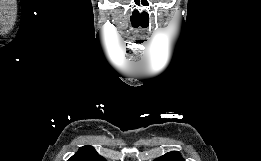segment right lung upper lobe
I'll return each mask as SVG.
<instances>
[{
	"instance_id": "cb5924a9",
	"label": "right lung upper lobe",
	"mask_w": 261,
	"mask_h": 161,
	"mask_svg": "<svg viewBox=\"0 0 261 161\" xmlns=\"http://www.w3.org/2000/svg\"><path fill=\"white\" fill-rule=\"evenodd\" d=\"M68 161H106L93 147L85 146L72 156Z\"/></svg>"
}]
</instances>
